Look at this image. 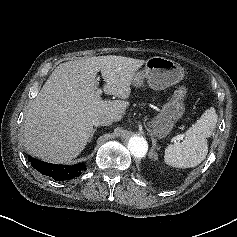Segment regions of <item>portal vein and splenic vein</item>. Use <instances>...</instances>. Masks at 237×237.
<instances>
[{
    "label": "portal vein and splenic vein",
    "mask_w": 237,
    "mask_h": 237,
    "mask_svg": "<svg viewBox=\"0 0 237 237\" xmlns=\"http://www.w3.org/2000/svg\"><path fill=\"white\" fill-rule=\"evenodd\" d=\"M101 94H102V90H101V89H98V90L96 91V95L100 96ZM178 139L180 140V139H182V137H179Z\"/></svg>",
    "instance_id": "portal-vein-and-splenic-vein-1"
}]
</instances>
